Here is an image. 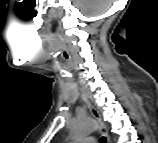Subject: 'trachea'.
<instances>
[{"label":"trachea","mask_w":158,"mask_h":143,"mask_svg":"<svg viewBox=\"0 0 158 143\" xmlns=\"http://www.w3.org/2000/svg\"><path fill=\"white\" fill-rule=\"evenodd\" d=\"M105 142V139L102 137L101 139H100V143H104Z\"/></svg>","instance_id":"3493384b"}]
</instances>
